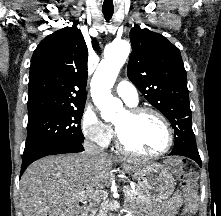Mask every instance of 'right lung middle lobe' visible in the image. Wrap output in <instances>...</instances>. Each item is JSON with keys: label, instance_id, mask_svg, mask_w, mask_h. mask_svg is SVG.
<instances>
[{"label": "right lung middle lobe", "instance_id": "obj_1", "mask_svg": "<svg viewBox=\"0 0 221 216\" xmlns=\"http://www.w3.org/2000/svg\"><path fill=\"white\" fill-rule=\"evenodd\" d=\"M84 106H71L28 118L23 160L63 144H82L80 122Z\"/></svg>", "mask_w": 221, "mask_h": 216}]
</instances>
